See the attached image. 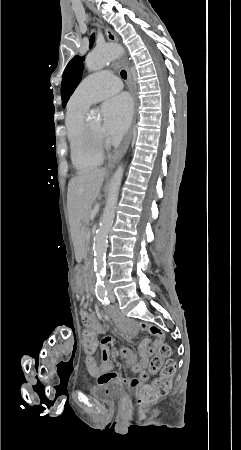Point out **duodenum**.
<instances>
[{
	"label": "duodenum",
	"instance_id": "duodenum-1",
	"mask_svg": "<svg viewBox=\"0 0 241 450\" xmlns=\"http://www.w3.org/2000/svg\"><path fill=\"white\" fill-rule=\"evenodd\" d=\"M88 285H89V289L91 291H95V289H96V279H95L94 270H93V264L92 263L88 264Z\"/></svg>",
	"mask_w": 241,
	"mask_h": 450
}]
</instances>
